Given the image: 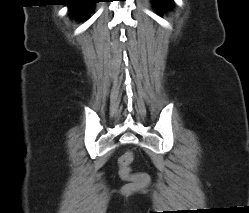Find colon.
<instances>
[{
    "instance_id": "obj_1",
    "label": "colon",
    "mask_w": 249,
    "mask_h": 213,
    "mask_svg": "<svg viewBox=\"0 0 249 213\" xmlns=\"http://www.w3.org/2000/svg\"><path fill=\"white\" fill-rule=\"evenodd\" d=\"M133 160V154L131 152L125 153L119 160L120 174L124 179H142L143 174H132L130 171V164Z\"/></svg>"
}]
</instances>
